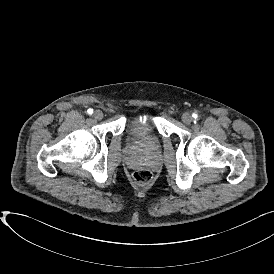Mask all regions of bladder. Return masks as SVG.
Instances as JSON below:
<instances>
[{"label":"bladder","mask_w":274,"mask_h":274,"mask_svg":"<svg viewBox=\"0 0 274 274\" xmlns=\"http://www.w3.org/2000/svg\"><path fill=\"white\" fill-rule=\"evenodd\" d=\"M153 120L149 117H135L130 120L127 125V133L129 137L134 139L142 138L147 132L153 128Z\"/></svg>","instance_id":"1"}]
</instances>
